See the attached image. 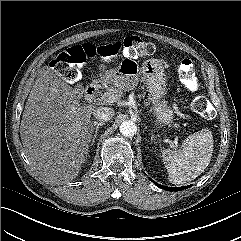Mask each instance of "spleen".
I'll list each match as a JSON object with an SVG mask.
<instances>
[{
  "instance_id": "1",
  "label": "spleen",
  "mask_w": 241,
  "mask_h": 241,
  "mask_svg": "<svg viewBox=\"0 0 241 241\" xmlns=\"http://www.w3.org/2000/svg\"><path fill=\"white\" fill-rule=\"evenodd\" d=\"M182 149L162 150V158L172 184H184L198 177L209 165L213 153V137L209 129L189 135Z\"/></svg>"
}]
</instances>
